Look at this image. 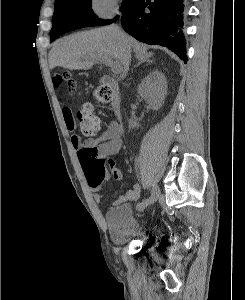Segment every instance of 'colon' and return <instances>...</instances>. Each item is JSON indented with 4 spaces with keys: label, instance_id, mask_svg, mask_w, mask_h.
Returning a JSON list of instances; mask_svg holds the SVG:
<instances>
[{
    "label": "colon",
    "instance_id": "obj_1",
    "mask_svg": "<svg viewBox=\"0 0 245 300\" xmlns=\"http://www.w3.org/2000/svg\"><path fill=\"white\" fill-rule=\"evenodd\" d=\"M55 87L65 84L68 92L75 91L77 83L68 71L56 73L53 76ZM95 98L102 103L109 102L112 98V90L107 86H100L95 90ZM77 119L81 132L86 137H94L99 130V119L93 112L90 104H84L77 112ZM81 164L89 184L98 186L105 177V160L97 156L95 149H86L81 152Z\"/></svg>",
    "mask_w": 245,
    "mask_h": 300
}]
</instances>
